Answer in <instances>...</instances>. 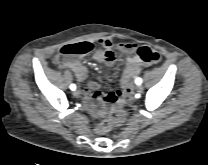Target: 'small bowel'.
Returning a JSON list of instances; mask_svg holds the SVG:
<instances>
[{
    "instance_id": "1",
    "label": "small bowel",
    "mask_w": 208,
    "mask_h": 165,
    "mask_svg": "<svg viewBox=\"0 0 208 165\" xmlns=\"http://www.w3.org/2000/svg\"><path fill=\"white\" fill-rule=\"evenodd\" d=\"M98 44L103 49H97L94 52L93 58L97 63L104 65H111L115 60V55L113 48L115 47L113 41L109 37H100L97 40ZM92 46L91 42H86ZM116 48L128 55L127 58V67L123 73V76L120 80H113L111 82V89L106 95H103L99 92L100 79L98 81L90 83L85 89H83V95L85 97L93 96L98 101H103L107 104H117L121 100V93L119 92L122 89V86L128 89V92L131 89V80L134 79L140 72L142 63L140 62L138 55L134 54L137 50L135 44H117ZM60 65L63 68L72 70L79 81H84L87 76V69L85 65L80 61V59L73 58L68 60H60ZM104 111V108L97 109V112L101 113Z\"/></svg>"
}]
</instances>
